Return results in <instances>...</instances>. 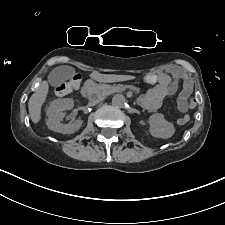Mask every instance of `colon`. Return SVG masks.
<instances>
[{
  "label": "colon",
  "instance_id": "1",
  "mask_svg": "<svg viewBox=\"0 0 225 225\" xmlns=\"http://www.w3.org/2000/svg\"><path fill=\"white\" fill-rule=\"evenodd\" d=\"M80 81L81 79L79 76H74L69 82L59 85V87L57 88V92L60 95H66L75 90L79 86ZM143 81L147 84H155L158 82V76L154 73H150L143 77ZM195 107L196 101L195 99L191 98L188 102V108L194 109ZM187 122L188 120L185 118L181 120L182 125L186 124Z\"/></svg>",
  "mask_w": 225,
  "mask_h": 225
}]
</instances>
